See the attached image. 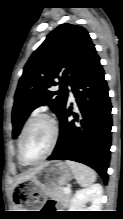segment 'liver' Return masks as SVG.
<instances>
[{"label": "liver", "mask_w": 123, "mask_h": 219, "mask_svg": "<svg viewBox=\"0 0 123 219\" xmlns=\"http://www.w3.org/2000/svg\"><path fill=\"white\" fill-rule=\"evenodd\" d=\"M40 167L41 166L33 168V169L29 170L26 174L18 177L16 182H15V186L22 183V182H24V181H26V180H28V179H30V178H32L36 174V172L40 169Z\"/></svg>", "instance_id": "obj_1"}]
</instances>
